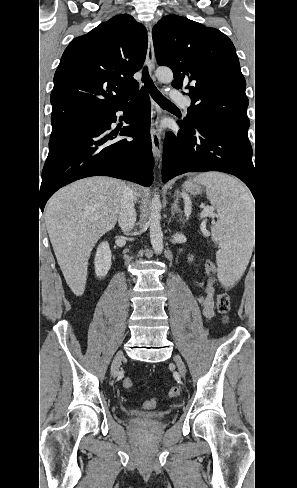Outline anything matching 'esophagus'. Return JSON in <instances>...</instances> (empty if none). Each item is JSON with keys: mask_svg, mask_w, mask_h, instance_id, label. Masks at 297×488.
<instances>
[{"mask_svg": "<svg viewBox=\"0 0 297 488\" xmlns=\"http://www.w3.org/2000/svg\"><path fill=\"white\" fill-rule=\"evenodd\" d=\"M147 31H148L147 65L149 68V72L152 73L155 66V57H154V45L152 39L151 25L147 27ZM158 122H159V108L157 104L153 101L151 106V140H152V152L157 161L160 159L161 152H162L161 136L158 130Z\"/></svg>", "mask_w": 297, "mask_h": 488, "instance_id": "esophagus-1", "label": "esophagus"}]
</instances>
